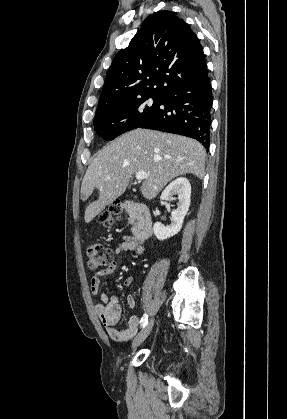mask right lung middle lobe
I'll return each mask as SVG.
<instances>
[{"instance_id": "1", "label": "right lung middle lobe", "mask_w": 287, "mask_h": 419, "mask_svg": "<svg viewBox=\"0 0 287 419\" xmlns=\"http://www.w3.org/2000/svg\"><path fill=\"white\" fill-rule=\"evenodd\" d=\"M161 97L148 95L100 109L95 114L94 128L105 140H113L144 123L158 108Z\"/></svg>"}]
</instances>
